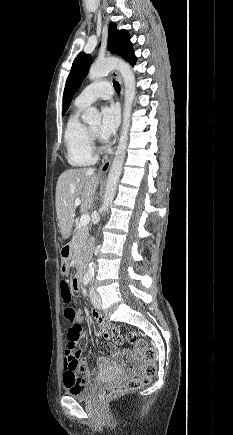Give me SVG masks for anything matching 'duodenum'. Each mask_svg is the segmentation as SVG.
I'll return each instance as SVG.
<instances>
[{"label":"duodenum","mask_w":233,"mask_h":435,"mask_svg":"<svg viewBox=\"0 0 233 435\" xmlns=\"http://www.w3.org/2000/svg\"><path fill=\"white\" fill-rule=\"evenodd\" d=\"M71 251H72V248H71V246H68V245L65 246V247L62 249V252H61V260H62L64 263H66L67 260L69 259L70 254H71ZM84 273H85V268H84V267L81 268V269H79L78 274H77V279H78V281H81V280H82V278H83V276H84Z\"/></svg>","instance_id":"duodenum-1"}]
</instances>
